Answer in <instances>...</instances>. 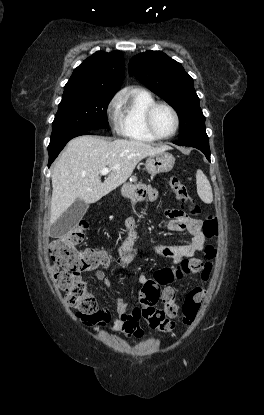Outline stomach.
Wrapping results in <instances>:
<instances>
[{
    "label": "stomach",
    "instance_id": "obj_1",
    "mask_svg": "<svg viewBox=\"0 0 264 415\" xmlns=\"http://www.w3.org/2000/svg\"><path fill=\"white\" fill-rule=\"evenodd\" d=\"M175 163V158L169 152H162L156 155L148 156L146 159V170L154 176L158 173H166L172 170ZM142 189V185L136 183H126L121 189V193L124 197L132 200L138 197L139 191Z\"/></svg>",
    "mask_w": 264,
    "mask_h": 415
}]
</instances>
